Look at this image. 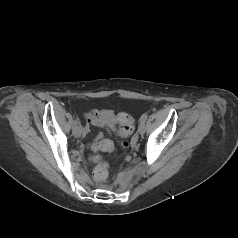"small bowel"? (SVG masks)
<instances>
[{
	"label": "small bowel",
	"instance_id": "c3829d8e",
	"mask_svg": "<svg viewBox=\"0 0 238 238\" xmlns=\"http://www.w3.org/2000/svg\"><path fill=\"white\" fill-rule=\"evenodd\" d=\"M116 114L112 110H91L85 114L86 125L83 128V133L86 135L89 132V125L97 126L106 129L111 133L116 130L115 123ZM104 134L99 133L95 139L90 143V148L94 151L102 150L103 145L111 146L109 140H105Z\"/></svg>",
	"mask_w": 238,
	"mask_h": 238
}]
</instances>
